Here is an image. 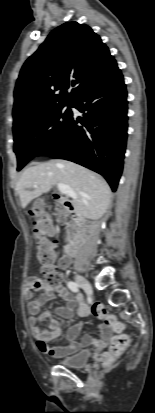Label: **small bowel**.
<instances>
[{
  "label": "small bowel",
  "instance_id": "1",
  "mask_svg": "<svg viewBox=\"0 0 155 413\" xmlns=\"http://www.w3.org/2000/svg\"><path fill=\"white\" fill-rule=\"evenodd\" d=\"M60 283L57 287L51 288L45 285L41 278L30 279L25 288L26 299L29 300L28 310L31 313L29 318V326L32 335L35 339L36 346L40 352L48 355L53 359H61L68 357L88 345L105 346L110 337V328L103 324L100 326L102 337L96 339L94 337H84L81 341L76 342L75 339L79 334V326H72L67 331V340L69 344L64 347H52L50 343L58 339L62 334V324L58 319H55L47 311L41 312L42 306L54 296H59L63 302V306L57 307V314L67 320H71L75 314L79 317H87L90 314V306L84 302L81 295L78 296L76 304L69 290L63 285V274L60 273ZM41 290V294L34 298V291ZM37 315H39L37 317ZM49 319V328H41L43 320Z\"/></svg>",
  "mask_w": 155,
  "mask_h": 413
}]
</instances>
